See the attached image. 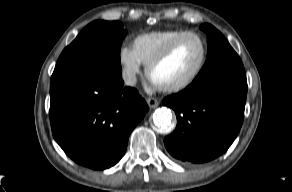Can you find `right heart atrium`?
<instances>
[{
	"instance_id": "d8ad5b80",
	"label": "right heart atrium",
	"mask_w": 292,
	"mask_h": 192,
	"mask_svg": "<svg viewBox=\"0 0 292 192\" xmlns=\"http://www.w3.org/2000/svg\"><path fill=\"white\" fill-rule=\"evenodd\" d=\"M118 62L121 74L128 85H134L142 69V62L133 47L122 45L118 50Z\"/></svg>"
}]
</instances>
